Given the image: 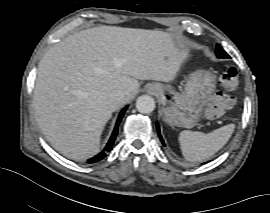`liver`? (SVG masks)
Listing matches in <instances>:
<instances>
[{"label": "liver", "mask_w": 270, "mask_h": 213, "mask_svg": "<svg viewBox=\"0 0 270 213\" xmlns=\"http://www.w3.org/2000/svg\"><path fill=\"white\" fill-rule=\"evenodd\" d=\"M187 50L169 33L100 26L52 46L39 63L33 107L50 144L62 155L84 160L100 150L112 113L139 90L138 80L171 82ZM125 102L110 100L113 90Z\"/></svg>", "instance_id": "obj_1"}]
</instances>
